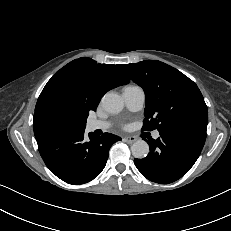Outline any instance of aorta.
<instances>
[{
    "mask_svg": "<svg viewBox=\"0 0 231 231\" xmlns=\"http://www.w3.org/2000/svg\"><path fill=\"white\" fill-rule=\"evenodd\" d=\"M102 104L109 113L117 114L122 111L124 101L122 97L116 93L108 92L102 98ZM132 155L137 159L145 158L149 153V145L144 140H137L131 145Z\"/></svg>",
    "mask_w": 231,
    "mask_h": 231,
    "instance_id": "obj_1",
    "label": "aorta"
}]
</instances>
